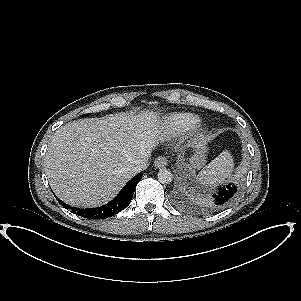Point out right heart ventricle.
<instances>
[{"label":"right heart ventricle","instance_id":"obj_1","mask_svg":"<svg viewBox=\"0 0 301 301\" xmlns=\"http://www.w3.org/2000/svg\"><path fill=\"white\" fill-rule=\"evenodd\" d=\"M200 117L194 113L178 112L170 114L164 121V127L171 135H182L191 130Z\"/></svg>","mask_w":301,"mask_h":301}]
</instances>
